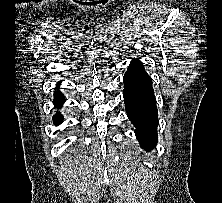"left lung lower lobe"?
Returning a JSON list of instances; mask_svg holds the SVG:
<instances>
[{
  "label": "left lung lower lobe",
  "instance_id": "1",
  "mask_svg": "<svg viewBox=\"0 0 222 203\" xmlns=\"http://www.w3.org/2000/svg\"><path fill=\"white\" fill-rule=\"evenodd\" d=\"M124 101L128 118L136 127L135 134L144 149L157 142L158 112L152 79L143 63L133 59L124 75Z\"/></svg>",
  "mask_w": 222,
  "mask_h": 203
}]
</instances>
